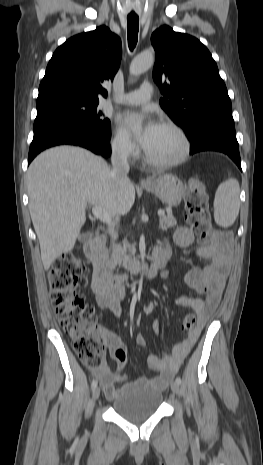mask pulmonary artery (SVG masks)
<instances>
[{
  "instance_id": "e3ab8cb5",
  "label": "pulmonary artery",
  "mask_w": 263,
  "mask_h": 465,
  "mask_svg": "<svg viewBox=\"0 0 263 465\" xmlns=\"http://www.w3.org/2000/svg\"><path fill=\"white\" fill-rule=\"evenodd\" d=\"M152 94L153 85L149 82H144L139 89L121 95L115 101L121 104L140 105L149 101Z\"/></svg>"
}]
</instances>
